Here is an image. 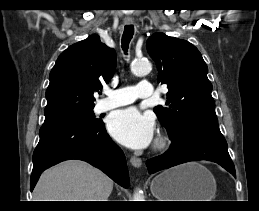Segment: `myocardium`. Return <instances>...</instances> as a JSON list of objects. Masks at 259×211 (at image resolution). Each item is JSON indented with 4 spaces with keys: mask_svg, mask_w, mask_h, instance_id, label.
<instances>
[{
    "mask_svg": "<svg viewBox=\"0 0 259 211\" xmlns=\"http://www.w3.org/2000/svg\"><path fill=\"white\" fill-rule=\"evenodd\" d=\"M168 143H169L168 137L165 136V135H160V136L156 139V141H155V143H154V149H155V150H163L164 148L167 147Z\"/></svg>",
    "mask_w": 259,
    "mask_h": 211,
    "instance_id": "1",
    "label": "myocardium"
}]
</instances>
